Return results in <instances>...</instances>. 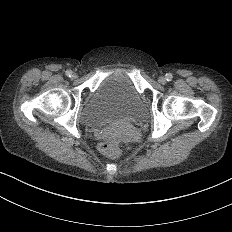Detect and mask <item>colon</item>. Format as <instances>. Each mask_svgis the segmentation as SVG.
Returning a JSON list of instances; mask_svg holds the SVG:
<instances>
[{"mask_svg": "<svg viewBox=\"0 0 232 232\" xmlns=\"http://www.w3.org/2000/svg\"><path fill=\"white\" fill-rule=\"evenodd\" d=\"M100 149L104 153H111L115 149V141L111 137H104L100 141Z\"/></svg>", "mask_w": 232, "mask_h": 232, "instance_id": "colon-1", "label": "colon"}]
</instances>
